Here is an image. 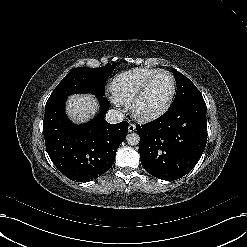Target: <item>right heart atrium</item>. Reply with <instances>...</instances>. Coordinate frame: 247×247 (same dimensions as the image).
<instances>
[{
    "instance_id": "d8ad5b80",
    "label": "right heart atrium",
    "mask_w": 247,
    "mask_h": 247,
    "mask_svg": "<svg viewBox=\"0 0 247 247\" xmlns=\"http://www.w3.org/2000/svg\"><path fill=\"white\" fill-rule=\"evenodd\" d=\"M112 101L116 106H121L122 103L120 101H118L116 98L112 97Z\"/></svg>"
}]
</instances>
